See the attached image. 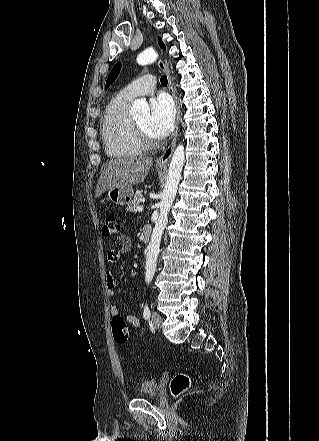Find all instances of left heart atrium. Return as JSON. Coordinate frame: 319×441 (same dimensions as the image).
Here are the masks:
<instances>
[{
    "mask_svg": "<svg viewBox=\"0 0 319 441\" xmlns=\"http://www.w3.org/2000/svg\"><path fill=\"white\" fill-rule=\"evenodd\" d=\"M151 115L149 131L153 138L168 136L174 125L175 110L172 101L166 95H159L150 102Z\"/></svg>",
    "mask_w": 319,
    "mask_h": 441,
    "instance_id": "39dd6f15",
    "label": "left heart atrium"
}]
</instances>
